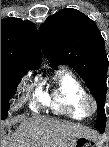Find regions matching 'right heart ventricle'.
<instances>
[{"instance_id": "right-heart-ventricle-1", "label": "right heart ventricle", "mask_w": 109, "mask_h": 147, "mask_svg": "<svg viewBox=\"0 0 109 147\" xmlns=\"http://www.w3.org/2000/svg\"><path fill=\"white\" fill-rule=\"evenodd\" d=\"M86 91L79 80L67 70H59L52 88L45 90L34 105L48 106L59 114L82 120L88 116L81 106Z\"/></svg>"}]
</instances>
